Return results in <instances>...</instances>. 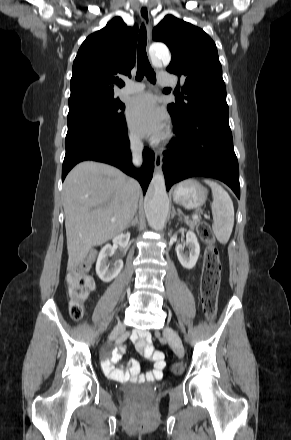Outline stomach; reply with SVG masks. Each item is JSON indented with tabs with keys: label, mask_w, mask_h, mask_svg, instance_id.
<instances>
[{
	"label": "stomach",
	"mask_w": 291,
	"mask_h": 440,
	"mask_svg": "<svg viewBox=\"0 0 291 440\" xmlns=\"http://www.w3.org/2000/svg\"><path fill=\"white\" fill-rule=\"evenodd\" d=\"M206 198L207 190L194 180L180 183L173 193L174 201L188 209L200 207Z\"/></svg>",
	"instance_id": "obj_1"
}]
</instances>
